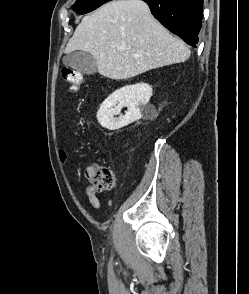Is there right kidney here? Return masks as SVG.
<instances>
[{"mask_svg":"<svg viewBox=\"0 0 249 294\" xmlns=\"http://www.w3.org/2000/svg\"><path fill=\"white\" fill-rule=\"evenodd\" d=\"M152 87L147 83L127 85L113 92L100 106L97 112L99 124L108 130H118L141 117L150 118L155 107L149 104ZM127 107L125 115L121 114ZM115 115L119 117L115 118Z\"/></svg>","mask_w":249,"mask_h":294,"instance_id":"1","label":"right kidney"}]
</instances>
